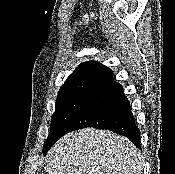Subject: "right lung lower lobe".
Wrapping results in <instances>:
<instances>
[{
  "mask_svg": "<svg viewBox=\"0 0 175 174\" xmlns=\"http://www.w3.org/2000/svg\"><path fill=\"white\" fill-rule=\"evenodd\" d=\"M86 127L108 129L124 135L136 147L141 148L140 130L135 125L130 102L122 85L117 83L113 76L89 93L63 135ZM51 146L45 147L43 152L46 154Z\"/></svg>",
  "mask_w": 175,
  "mask_h": 174,
  "instance_id": "obj_1",
  "label": "right lung lower lobe"
}]
</instances>
